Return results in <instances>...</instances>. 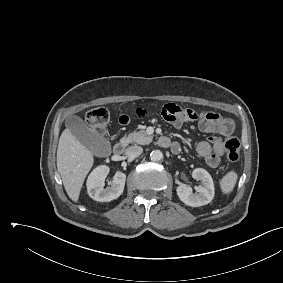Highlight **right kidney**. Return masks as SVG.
Segmentation results:
<instances>
[{"instance_id":"obj_1","label":"right kidney","mask_w":283,"mask_h":283,"mask_svg":"<svg viewBox=\"0 0 283 283\" xmlns=\"http://www.w3.org/2000/svg\"><path fill=\"white\" fill-rule=\"evenodd\" d=\"M109 170L108 166L100 165L88 176L87 192L92 199L99 202H109L117 199L123 193L126 175L122 172H116L111 185L104 188Z\"/></svg>"}]
</instances>
